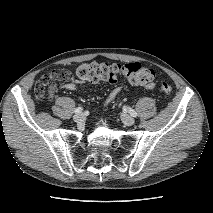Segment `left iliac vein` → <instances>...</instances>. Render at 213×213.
Masks as SVG:
<instances>
[{
    "label": "left iliac vein",
    "instance_id": "4c4485c4",
    "mask_svg": "<svg viewBox=\"0 0 213 213\" xmlns=\"http://www.w3.org/2000/svg\"><path fill=\"white\" fill-rule=\"evenodd\" d=\"M121 120L122 122L127 125V126H131L135 123V120L133 117H131L130 115L128 114H122L121 115Z\"/></svg>",
    "mask_w": 213,
    "mask_h": 213
}]
</instances>
